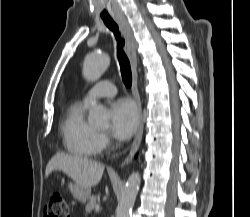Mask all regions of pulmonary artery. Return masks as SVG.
Here are the masks:
<instances>
[{
  "mask_svg": "<svg viewBox=\"0 0 250 217\" xmlns=\"http://www.w3.org/2000/svg\"><path fill=\"white\" fill-rule=\"evenodd\" d=\"M116 92L117 90L113 83L109 81H100L85 94L83 102L89 105L98 98L113 97Z\"/></svg>",
  "mask_w": 250,
  "mask_h": 217,
  "instance_id": "1",
  "label": "pulmonary artery"
}]
</instances>
